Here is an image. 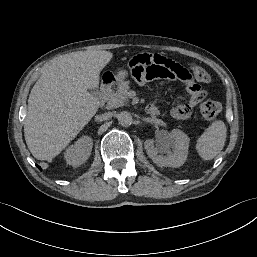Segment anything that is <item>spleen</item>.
I'll return each instance as SVG.
<instances>
[{"instance_id":"spleen-1","label":"spleen","mask_w":257,"mask_h":257,"mask_svg":"<svg viewBox=\"0 0 257 257\" xmlns=\"http://www.w3.org/2000/svg\"><path fill=\"white\" fill-rule=\"evenodd\" d=\"M227 129L222 120L214 121L201 135L196 149L204 160L213 159L224 147Z\"/></svg>"}]
</instances>
